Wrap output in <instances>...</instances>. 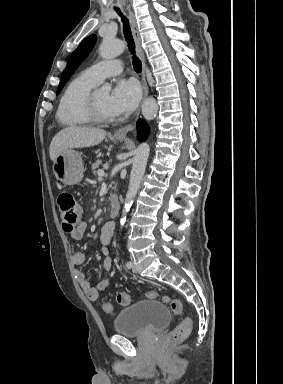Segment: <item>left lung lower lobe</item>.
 I'll list each match as a JSON object with an SVG mask.
<instances>
[{"label":"left lung lower lobe","instance_id":"left-lung-lower-lobe-1","mask_svg":"<svg viewBox=\"0 0 283 384\" xmlns=\"http://www.w3.org/2000/svg\"><path fill=\"white\" fill-rule=\"evenodd\" d=\"M137 138L139 141H143L147 138L149 134V127L145 121L142 119L137 121Z\"/></svg>","mask_w":283,"mask_h":384}]
</instances>
